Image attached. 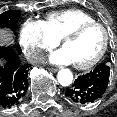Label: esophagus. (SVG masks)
<instances>
[{"label":"esophagus","mask_w":117,"mask_h":117,"mask_svg":"<svg viewBox=\"0 0 117 117\" xmlns=\"http://www.w3.org/2000/svg\"><path fill=\"white\" fill-rule=\"evenodd\" d=\"M50 72H57L58 69L57 68H52V67H48L47 68Z\"/></svg>","instance_id":"34e87169"}]
</instances>
